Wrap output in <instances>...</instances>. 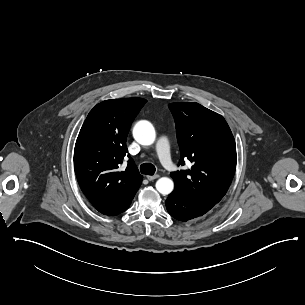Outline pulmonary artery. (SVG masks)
Returning <instances> with one entry per match:
<instances>
[{
    "mask_svg": "<svg viewBox=\"0 0 305 305\" xmlns=\"http://www.w3.org/2000/svg\"><path fill=\"white\" fill-rule=\"evenodd\" d=\"M170 142L166 137L161 136L154 145V150L157 153L160 164L162 167L166 168L168 172L174 173L177 170V166L172 162L169 157L171 150L169 148Z\"/></svg>",
    "mask_w": 305,
    "mask_h": 305,
    "instance_id": "pulmonary-artery-1",
    "label": "pulmonary artery"
}]
</instances>
